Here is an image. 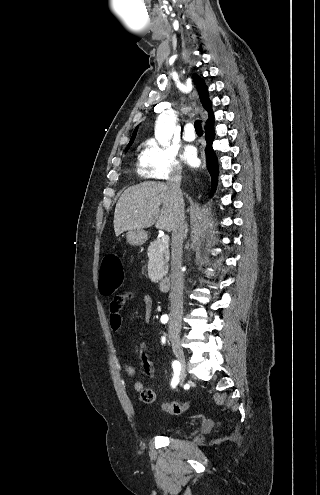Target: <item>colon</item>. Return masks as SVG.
<instances>
[{
	"instance_id": "1",
	"label": "colon",
	"mask_w": 320,
	"mask_h": 495,
	"mask_svg": "<svg viewBox=\"0 0 320 495\" xmlns=\"http://www.w3.org/2000/svg\"><path fill=\"white\" fill-rule=\"evenodd\" d=\"M124 271L120 258L116 254H107L99 269V288L106 294L114 292L123 282ZM141 401L151 404L156 400V392L151 388H145L140 394ZM165 412L172 415H181L188 410V403L165 402L162 405Z\"/></svg>"
}]
</instances>
